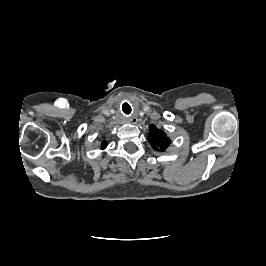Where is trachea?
Wrapping results in <instances>:
<instances>
[{
	"instance_id": "obj_1",
	"label": "trachea",
	"mask_w": 266,
	"mask_h": 266,
	"mask_svg": "<svg viewBox=\"0 0 266 266\" xmlns=\"http://www.w3.org/2000/svg\"><path fill=\"white\" fill-rule=\"evenodd\" d=\"M123 112L125 114H130L131 113V107L128 103H124L123 104Z\"/></svg>"
}]
</instances>
